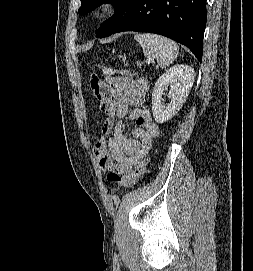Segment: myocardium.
I'll list each match as a JSON object with an SVG mask.
<instances>
[{"instance_id": "myocardium-1", "label": "myocardium", "mask_w": 253, "mask_h": 271, "mask_svg": "<svg viewBox=\"0 0 253 271\" xmlns=\"http://www.w3.org/2000/svg\"><path fill=\"white\" fill-rule=\"evenodd\" d=\"M117 3L115 0H101L94 9V14L97 18L104 19L112 15L116 9Z\"/></svg>"}]
</instances>
